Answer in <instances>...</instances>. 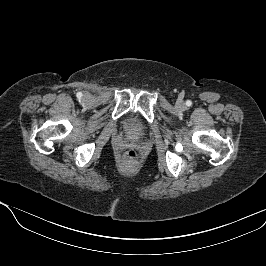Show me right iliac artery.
<instances>
[{
	"mask_svg": "<svg viewBox=\"0 0 266 266\" xmlns=\"http://www.w3.org/2000/svg\"><path fill=\"white\" fill-rule=\"evenodd\" d=\"M77 97H78V98H81V97H82V93H81V92H78V93H77Z\"/></svg>",
	"mask_w": 266,
	"mask_h": 266,
	"instance_id": "82829eb1",
	"label": "right iliac artery"
}]
</instances>
